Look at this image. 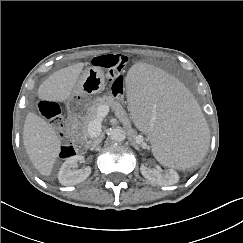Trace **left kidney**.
<instances>
[{
    "label": "left kidney",
    "instance_id": "obj_1",
    "mask_svg": "<svg viewBox=\"0 0 243 243\" xmlns=\"http://www.w3.org/2000/svg\"><path fill=\"white\" fill-rule=\"evenodd\" d=\"M141 174L149 181L161 186L174 185L179 181V175L175 170H168L163 174L155 168L142 164L140 167Z\"/></svg>",
    "mask_w": 243,
    "mask_h": 243
}]
</instances>
